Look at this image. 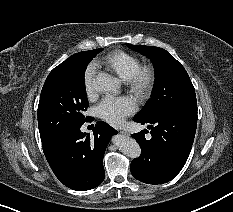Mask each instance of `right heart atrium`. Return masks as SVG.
Wrapping results in <instances>:
<instances>
[{
	"instance_id": "obj_1",
	"label": "right heart atrium",
	"mask_w": 233,
	"mask_h": 212,
	"mask_svg": "<svg viewBox=\"0 0 233 212\" xmlns=\"http://www.w3.org/2000/svg\"><path fill=\"white\" fill-rule=\"evenodd\" d=\"M96 67L94 64H89L85 69L83 75V83L86 94L89 98L94 96V75H95Z\"/></svg>"
}]
</instances>
